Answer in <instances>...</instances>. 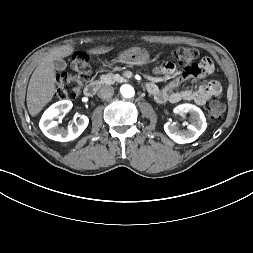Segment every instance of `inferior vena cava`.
Returning <instances> with one entry per match:
<instances>
[{"mask_svg":"<svg viewBox=\"0 0 253 253\" xmlns=\"http://www.w3.org/2000/svg\"><path fill=\"white\" fill-rule=\"evenodd\" d=\"M113 94H114V88L112 86H103L98 92L99 98H102V99L110 98L113 96Z\"/></svg>","mask_w":253,"mask_h":253,"instance_id":"obj_1","label":"inferior vena cava"}]
</instances>
